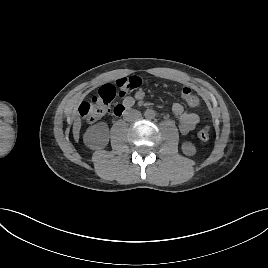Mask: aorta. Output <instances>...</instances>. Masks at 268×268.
<instances>
[{
	"label": "aorta",
	"instance_id": "1",
	"mask_svg": "<svg viewBox=\"0 0 268 268\" xmlns=\"http://www.w3.org/2000/svg\"><path fill=\"white\" fill-rule=\"evenodd\" d=\"M145 118L147 119H154V117L156 116V113L154 110L152 109H147L144 113Z\"/></svg>",
	"mask_w": 268,
	"mask_h": 268
}]
</instances>
